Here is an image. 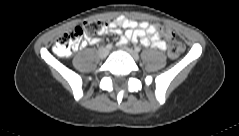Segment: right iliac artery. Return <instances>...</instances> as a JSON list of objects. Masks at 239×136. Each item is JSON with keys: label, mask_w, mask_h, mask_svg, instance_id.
Segmentation results:
<instances>
[{"label": "right iliac artery", "mask_w": 239, "mask_h": 136, "mask_svg": "<svg viewBox=\"0 0 239 136\" xmlns=\"http://www.w3.org/2000/svg\"><path fill=\"white\" fill-rule=\"evenodd\" d=\"M106 48L107 49H111L112 48V44H107Z\"/></svg>", "instance_id": "right-iliac-artery-1"}]
</instances>
